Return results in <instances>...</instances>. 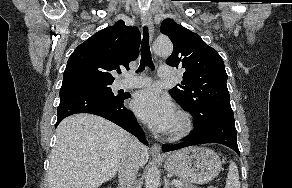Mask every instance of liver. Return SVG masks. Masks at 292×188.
<instances>
[{"mask_svg": "<svg viewBox=\"0 0 292 188\" xmlns=\"http://www.w3.org/2000/svg\"><path fill=\"white\" fill-rule=\"evenodd\" d=\"M133 137L114 123L91 114L65 118L57 127V141L48 170V188H98L112 179ZM149 158L140 149L139 166Z\"/></svg>", "mask_w": 292, "mask_h": 188, "instance_id": "obj_1", "label": "liver"}]
</instances>
